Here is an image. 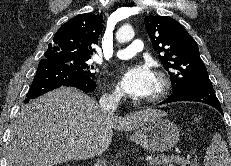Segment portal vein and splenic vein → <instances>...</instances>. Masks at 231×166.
<instances>
[{
    "label": "portal vein and splenic vein",
    "mask_w": 231,
    "mask_h": 166,
    "mask_svg": "<svg viewBox=\"0 0 231 166\" xmlns=\"http://www.w3.org/2000/svg\"><path fill=\"white\" fill-rule=\"evenodd\" d=\"M172 159H175L178 163H180L182 166L188 161L186 158H183L181 156H171ZM146 161L149 163H152L154 161H158V158H153V157H147Z\"/></svg>",
    "instance_id": "portal-vein-and-splenic-vein-1"
}]
</instances>
